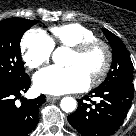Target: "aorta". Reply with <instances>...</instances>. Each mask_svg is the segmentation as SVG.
Masks as SVG:
<instances>
[{
	"instance_id": "aorta-1",
	"label": "aorta",
	"mask_w": 136,
	"mask_h": 136,
	"mask_svg": "<svg viewBox=\"0 0 136 136\" xmlns=\"http://www.w3.org/2000/svg\"><path fill=\"white\" fill-rule=\"evenodd\" d=\"M53 62L57 66H65V49L57 48L52 55ZM77 102L73 97H64L61 100L60 107L65 112H72L76 109Z\"/></svg>"
}]
</instances>
